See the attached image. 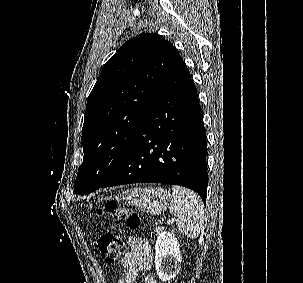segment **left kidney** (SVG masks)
<instances>
[{"mask_svg":"<svg viewBox=\"0 0 303 283\" xmlns=\"http://www.w3.org/2000/svg\"><path fill=\"white\" fill-rule=\"evenodd\" d=\"M179 247L177 238L170 232H162L156 240L155 268L164 282L173 279L180 270L182 257Z\"/></svg>","mask_w":303,"mask_h":283,"instance_id":"5707ae66","label":"left kidney"}]
</instances>
